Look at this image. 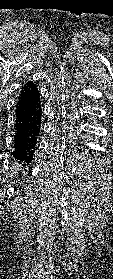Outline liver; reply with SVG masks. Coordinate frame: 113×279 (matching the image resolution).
<instances>
[{
  "label": "liver",
  "instance_id": "1",
  "mask_svg": "<svg viewBox=\"0 0 113 279\" xmlns=\"http://www.w3.org/2000/svg\"><path fill=\"white\" fill-rule=\"evenodd\" d=\"M18 164H15V166L12 167L10 172V177H12L14 174H16V171L18 170Z\"/></svg>",
  "mask_w": 113,
  "mask_h": 279
}]
</instances>
